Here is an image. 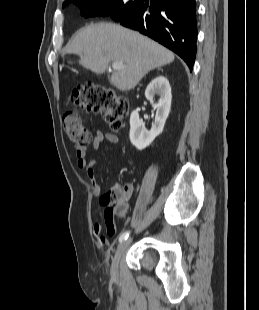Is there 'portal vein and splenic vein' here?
I'll list each match as a JSON object with an SVG mask.
<instances>
[{
  "instance_id": "1",
  "label": "portal vein and splenic vein",
  "mask_w": 259,
  "mask_h": 310,
  "mask_svg": "<svg viewBox=\"0 0 259 310\" xmlns=\"http://www.w3.org/2000/svg\"><path fill=\"white\" fill-rule=\"evenodd\" d=\"M112 68L115 70H120V69L124 68V66L121 62L113 61Z\"/></svg>"
}]
</instances>
